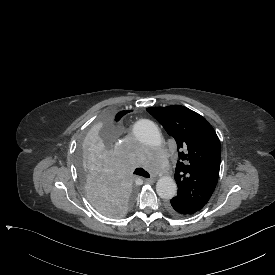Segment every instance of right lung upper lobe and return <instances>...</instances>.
Instances as JSON below:
<instances>
[{
	"label": "right lung upper lobe",
	"instance_id": "right-lung-upper-lobe-1",
	"mask_svg": "<svg viewBox=\"0 0 275 275\" xmlns=\"http://www.w3.org/2000/svg\"><path fill=\"white\" fill-rule=\"evenodd\" d=\"M128 112H130V111H121V112L118 113V115L122 118Z\"/></svg>",
	"mask_w": 275,
	"mask_h": 275
}]
</instances>
